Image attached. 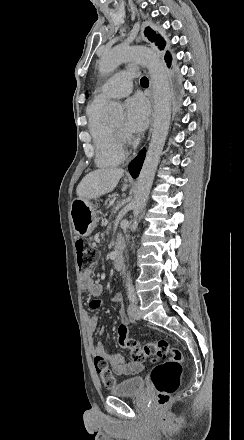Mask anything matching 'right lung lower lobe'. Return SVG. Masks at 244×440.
<instances>
[{"mask_svg":"<svg viewBox=\"0 0 244 440\" xmlns=\"http://www.w3.org/2000/svg\"><path fill=\"white\" fill-rule=\"evenodd\" d=\"M145 158V149H143L134 160L129 164L128 169L133 178L138 177Z\"/></svg>","mask_w":244,"mask_h":440,"instance_id":"obj_1","label":"right lung lower lobe"}]
</instances>
